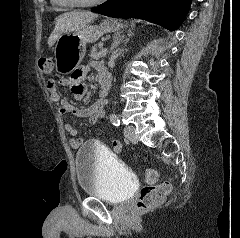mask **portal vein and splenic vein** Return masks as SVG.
Returning <instances> with one entry per match:
<instances>
[{"label":"portal vein and splenic vein","instance_id":"obj_1","mask_svg":"<svg viewBox=\"0 0 240 238\" xmlns=\"http://www.w3.org/2000/svg\"><path fill=\"white\" fill-rule=\"evenodd\" d=\"M107 54V48L102 49V56H105Z\"/></svg>","mask_w":240,"mask_h":238}]
</instances>
